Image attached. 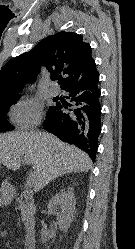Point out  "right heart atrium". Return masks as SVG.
Masks as SVG:
<instances>
[{
	"label": "right heart atrium",
	"mask_w": 135,
	"mask_h": 249,
	"mask_svg": "<svg viewBox=\"0 0 135 249\" xmlns=\"http://www.w3.org/2000/svg\"><path fill=\"white\" fill-rule=\"evenodd\" d=\"M11 119L20 130H31L39 125L43 109L39 102L30 97L17 100L10 108Z\"/></svg>",
	"instance_id": "right-heart-atrium-1"
}]
</instances>
